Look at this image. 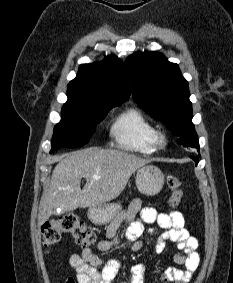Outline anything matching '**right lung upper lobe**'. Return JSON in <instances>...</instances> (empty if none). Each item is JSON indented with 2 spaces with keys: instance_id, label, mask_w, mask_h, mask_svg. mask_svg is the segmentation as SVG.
Returning <instances> with one entry per match:
<instances>
[{
  "instance_id": "cb5924a9",
  "label": "right lung upper lobe",
  "mask_w": 233,
  "mask_h": 283,
  "mask_svg": "<svg viewBox=\"0 0 233 283\" xmlns=\"http://www.w3.org/2000/svg\"><path fill=\"white\" fill-rule=\"evenodd\" d=\"M70 100L89 105H118L130 96L122 61L108 56L103 62L82 64L78 75L68 84Z\"/></svg>"
}]
</instances>
